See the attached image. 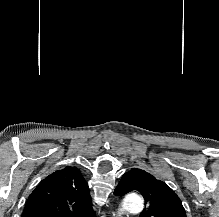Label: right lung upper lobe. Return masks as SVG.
<instances>
[{
    "mask_svg": "<svg viewBox=\"0 0 219 217\" xmlns=\"http://www.w3.org/2000/svg\"><path fill=\"white\" fill-rule=\"evenodd\" d=\"M89 187L76 167L47 176L30 194L21 217H95Z\"/></svg>",
    "mask_w": 219,
    "mask_h": 217,
    "instance_id": "obj_1",
    "label": "right lung upper lobe"
}]
</instances>
